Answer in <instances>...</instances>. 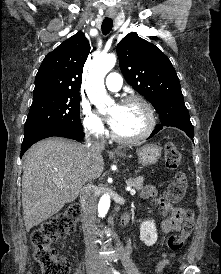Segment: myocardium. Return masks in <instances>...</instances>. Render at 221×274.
<instances>
[{
  "label": "myocardium",
  "mask_w": 221,
  "mask_h": 274,
  "mask_svg": "<svg viewBox=\"0 0 221 274\" xmlns=\"http://www.w3.org/2000/svg\"><path fill=\"white\" fill-rule=\"evenodd\" d=\"M130 103H138L140 105H142L146 111L147 114V126L145 128V130L134 137H123L118 135L114 129H111V137L119 142V143H123V144H135V143H139L142 142L144 140H146L154 131L155 127H156V114H155V110L153 108V106L151 105L150 102H148L145 98L138 96V95H130L127 97H124L123 99L120 100L118 105H126V104H130Z\"/></svg>",
  "instance_id": "myocardium-1"
}]
</instances>
